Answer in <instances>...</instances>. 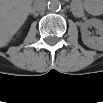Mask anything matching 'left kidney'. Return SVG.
Returning <instances> with one entry per match:
<instances>
[{
  "label": "left kidney",
  "instance_id": "obj_1",
  "mask_svg": "<svg viewBox=\"0 0 103 103\" xmlns=\"http://www.w3.org/2000/svg\"><path fill=\"white\" fill-rule=\"evenodd\" d=\"M90 26L95 27L101 36L100 37L89 36L88 33L86 32V28ZM81 35H82V41L87 47L95 50H101L103 48V37H102L103 21L95 18L87 20L83 25Z\"/></svg>",
  "mask_w": 103,
  "mask_h": 103
}]
</instances>
